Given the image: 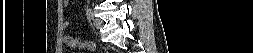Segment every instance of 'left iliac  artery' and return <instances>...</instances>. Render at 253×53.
Here are the masks:
<instances>
[{
    "label": "left iliac artery",
    "mask_w": 253,
    "mask_h": 53,
    "mask_svg": "<svg viewBox=\"0 0 253 53\" xmlns=\"http://www.w3.org/2000/svg\"><path fill=\"white\" fill-rule=\"evenodd\" d=\"M87 15H88V18H89V19L93 20V18H94V13H93V11H92L91 8H88V10H87Z\"/></svg>",
    "instance_id": "1"
}]
</instances>
